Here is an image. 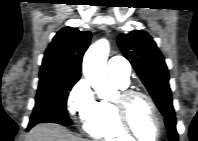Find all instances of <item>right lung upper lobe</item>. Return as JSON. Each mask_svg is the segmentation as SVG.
<instances>
[{
    "instance_id": "obj_1",
    "label": "right lung upper lobe",
    "mask_w": 198,
    "mask_h": 141,
    "mask_svg": "<svg viewBox=\"0 0 198 141\" xmlns=\"http://www.w3.org/2000/svg\"><path fill=\"white\" fill-rule=\"evenodd\" d=\"M91 40L89 31L65 27L45 51L39 76L79 77L82 57Z\"/></svg>"
}]
</instances>
